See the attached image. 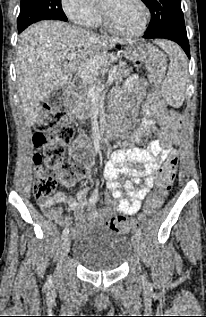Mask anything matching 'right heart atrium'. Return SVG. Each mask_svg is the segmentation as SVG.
<instances>
[{
	"label": "right heart atrium",
	"instance_id": "d8ad5b80",
	"mask_svg": "<svg viewBox=\"0 0 206 317\" xmlns=\"http://www.w3.org/2000/svg\"><path fill=\"white\" fill-rule=\"evenodd\" d=\"M61 5L66 16L77 25H93L99 19L98 8L89 0H61Z\"/></svg>",
	"mask_w": 206,
	"mask_h": 317
}]
</instances>
